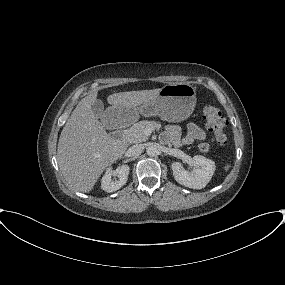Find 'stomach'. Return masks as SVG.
<instances>
[{"label": "stomach", "mask_w": 285, "mask_h": 285, "mask_svg": "<svg viewBox=\"0 0 285 285\" xmlns=\"http://www.w3.org/2000/svg\"><path fill=\"white\" fill-rule=\"evenodd\" d=\"M196 105V89L189 83H173L162 87L155 98L135 108L112 106L114 117L122 122L125 117L137 119L158 116L162 120L178 122L188 116Z\"/></svg>", "instance_id": "0dacf381"}]
</instances>
